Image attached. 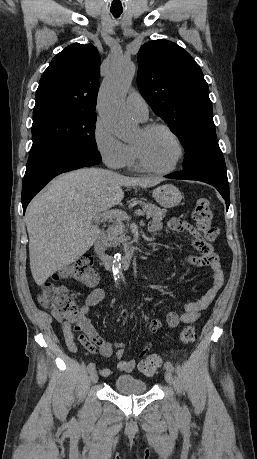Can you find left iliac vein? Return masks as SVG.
<instances>
[{"label":"left iliac vein","instance_id":"1","mask_svg":"<svg viewBox=\"0 0 257 459\" xmlns=\"http://www.w3.org/2000/svg\"><path fill=\"white\" fill-rule=\"evenodd\" d=\"M165 380L169 385L173 384L172 373L170 370L166 369L164 374Z\"/></svg>","mask_w":257,"mask_h":459}]
</instances>
